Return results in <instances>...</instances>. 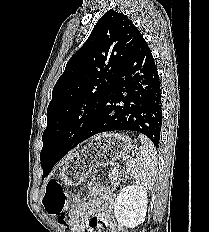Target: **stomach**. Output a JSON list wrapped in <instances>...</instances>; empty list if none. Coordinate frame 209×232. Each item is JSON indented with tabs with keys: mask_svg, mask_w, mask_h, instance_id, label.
<instances>
[{
	"mask_svg": "<svg viewBox=\"0 0 209 232\" xmlns=\"http://www.w3.org/2000/svg\"><path fill=\"white\" fill-rule=\"evenodd\" d=\"M133 148L131 139L119 133H104L75 152L63 166L60 177L69 185L81 184L92 170L105 167L127 155Z\"/></svg>",
	"mask_w": 209,
	"mask_h": 232,
	"instance_id": "0dacf381",
	"label": "stomach"
}]
</instances>
